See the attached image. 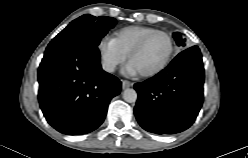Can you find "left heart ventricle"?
<instances>
[{"instance_id":"1","label":"left heart ventricle","mask_w":248,"mask_h":158,"mask_svg":"<svg viewBox=\"0 0 248 158\" xmlns=\"http://www.w3.org/2000/svg\"><path fill=\"white\" fill-rule=\"evenodd\" d=\"M169 50L168 39L161 34L152 36L143 49L134 55L130 62L139 73L148 72L158 67L166 58Z\"/></svg>"}]
</instances>
